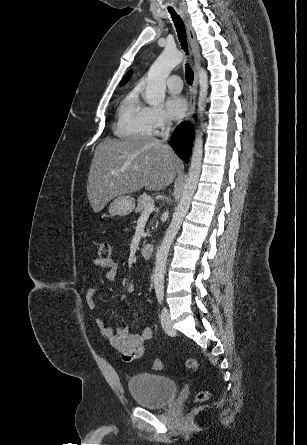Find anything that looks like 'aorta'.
Instances as JSON below:
<instances>
[{
  "instance_id": "aorta-1",
  "label": "aorta",
  "mask_w": 307,
  "mask_h": 445,
  "mask_svg": "<svg viewBox=\"0 0 307 445\" xmlns=\"http://www.w3.org/2000/svg\"><path fill=\"white\" fill-rule=\"evenodd\" d=\"M184 52L177 50V48H165L160 56L153 62L147 74V86L145 88V98L148 104L158 106L163 104L166 90V80L173 70L174 66L180 64L184 60ZM198 82L200 86L198 98V112L199 116H203L205 110L207 92H208V76L206 70L202 66H197ZM203 156V138L202 130H196L195 142L193 146L191 164L188 176L185 180L183 194L180 198L179 204L175 208L173 218L166 231V235L156 253L155 259V273H154V289L155 291H163L164 289V275L166 271V261L169 249L183 223L184 216H186L189 206L191 204L192 196L197 188L201 164Z\"/></svg>"
}]
</instances>
